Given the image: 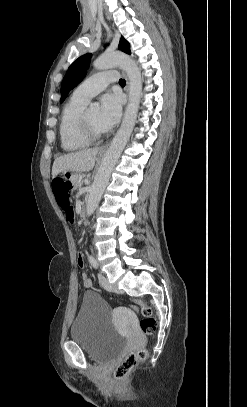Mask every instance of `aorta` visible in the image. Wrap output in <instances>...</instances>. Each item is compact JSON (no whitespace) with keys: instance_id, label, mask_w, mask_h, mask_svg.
<instances>
[{"instance_id":"obj_1","label":"aorta","mask_w":247,"mask_h":407,"mask_svg":"<svg viewBox=\"0 0 247 407\" xmlns=\"http://www.w3.org/2000/svg\"><path fill=\"white\" fill-rule=\"evenodd\" d=\"M93 65L98 70L119 66L126 72L129 79V102L124 113L121 127L113 138L94 177V182L86 201V213L88 216H91L98 206L108 184L111 172L130 138L136 122L142 95L140 69L137 63L127 54L122 52L104 53L94 61Z\"/></svg>"}]
</instances>
